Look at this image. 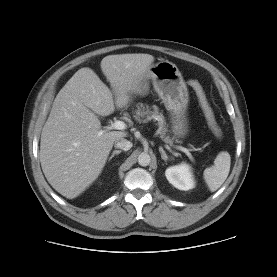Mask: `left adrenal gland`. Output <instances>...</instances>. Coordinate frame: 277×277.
Instances as JSON below:
<instances>
[{"label":"left adrenal gland","mask_w":277,"mask_h":277,"mask_svg":"<svg viewBox=\"0 0 277 277\" xmlns=\"http://www.w3.org/2000/svg\"><path fill=\"white\" fill-rule=\"evenodd\" d=\"M159 151L161 153V158L167 162V160L169 159V157L167 156L166 152L164 151V149L162 147H159Z\"/></svg>","instance_id":"obj_1"}]
</instances>
